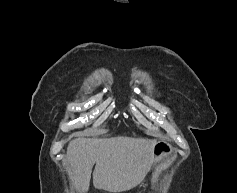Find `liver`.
Returning <instances> with one entry per match:
<instances>
[{
    "label": "liver",
    "instance_id": "liver-1",
    "mask_svg": "<svg viewBox=\"0 0 237 193\" xmlns=\"http://www.w3.org/2000/svg\"><path fill=\"white\" fill-rule=\"evenodd\" d=\"M155 140L132 137L84 138L70 141L64 163L80 193L91 179L96 189L124 192L139 185L153 164Z\"/></svg>",
    "mask_w": 237,
    "mask_h": 193
}]
</instances>
